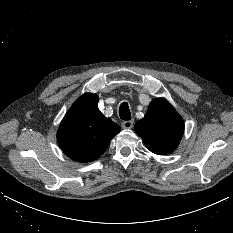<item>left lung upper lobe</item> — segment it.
Here are the masks:
<instances>
[{
	"label": "left lung upper lobe",
	"instance_id": "obj_1",
	"mask_svg": "<svg viewBox=\"0 0 233 233\" xmlns=\"http://www.w3.org/2000/svg\"><path fill=\"white\" fill-rule=\"evenodd\" d=\"M134 129L153 153L164 155L175 150L184 132V121L170 103L159 98L149 105L145 117Z\"/></svg>",
	"mask_w": 233,
	"mask_h": 233
}]
</instances>
